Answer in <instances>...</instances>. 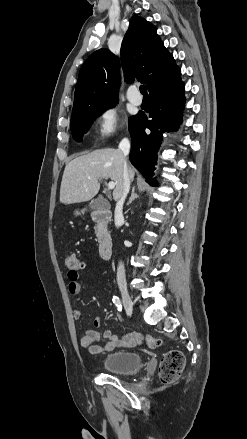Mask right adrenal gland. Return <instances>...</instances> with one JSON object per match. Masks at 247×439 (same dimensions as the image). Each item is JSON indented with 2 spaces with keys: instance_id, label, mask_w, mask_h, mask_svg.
<instances>
[{
  "instance_id": "obj_1",
  "label": "right adrenal gland",
  "mask_w": 247,
  "mask_h": 439,
  "mask_svg": "<svg viewBox=\"0 0 247 439\" xmlns=\"http://www.w3.org/2000/svg\"><path fill=\"white\" fill-rule=\"evenodd\" d=\"M135 189L136 187L134 186L132 188V193H131V197L129 199V201L126 203L127 205H130L132 203V201H134L135 199H137L139 196L135 193Z\"/></svg>"
}]
</instances>
